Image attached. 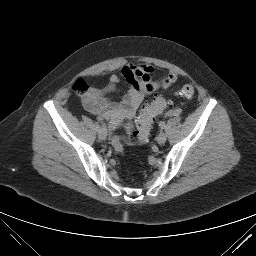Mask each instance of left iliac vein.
Returning <instances> with one entry per match:
<instances>
[{"label": "left iliac vein", "mask_w": 256, "mask_h": 256, "mask_svg": "<svg viewBox=\"0 0 256 256\" xmlns=\"http://www.w3.org/2000/svg\"><path fill=\"white\" fill-rule=\"evenodd\" d=\"M166 139H167V136L165 133H160L158 136H157V142L158 144H164L166 142Z\"/></svg>", "instance_id": "obj_1"}]
</instances>
